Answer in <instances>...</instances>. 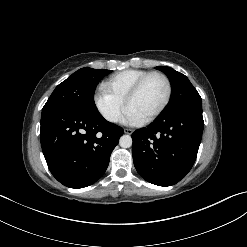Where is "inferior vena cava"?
<instances>
[{
    "label": "inferior vena cava",
    "instance_id": "602c4592",
    "mask_svg": "<svg viewBox=\"0 0 247 247\" xmlns=\"http://www.w3.org/2000/svg\"><path fill=\"white\" fill-rule=\"evenodd\" d=\"M108 120L109 121H112V122H117L118 121V115L117 114H112L108 117Z\"/></svg>",
    "mask_w": 247,
    "mask_h": 247
}]
</instances>
